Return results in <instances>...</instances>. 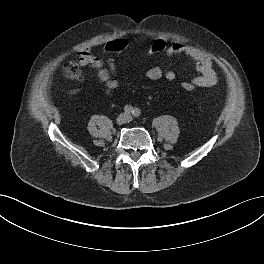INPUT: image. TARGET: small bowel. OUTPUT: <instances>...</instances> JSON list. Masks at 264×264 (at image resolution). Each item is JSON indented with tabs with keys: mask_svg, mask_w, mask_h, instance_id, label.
Listing matches in <instances>:
<instances>
[{
	"mask_svg": "<svg viewBox=\"0 0 264 264\" xmlns=\"http://www.w3.org/2000/svg\"><path fill=\"white\" fill-rule=\"evenodd\" d=\"M165 52L168 57L181 55L195 61V69L198 76L193 79V82L196 86L210 87L216 83L217 76L213 69L212 61L199 49L176 41L169 44ZM78 63L81 67L90 66L94 68L98 79L108 89H116L119 86L120 80L117 76V67L112 58H108L107 62H104L100 57L92 53L91 48L86 47L79 51ZM145 77L150 80L164 78L172 81L175 79L176 73L173 70H164L156 66L148 69L145 72Z\"/></svg>",
	"mask_w": 264,
	"mask_h": 264,
	"instance_id": "small-bowel-1",
	"label": "small bowel"
}]
</instances>
